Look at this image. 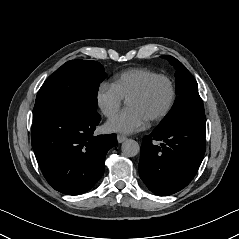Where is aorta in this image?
Returning a JSON list of instances; mask_svg holds the SVG:
<instances>
[{
  "label": "aorta",
  "mask_w": 239,
  "mask_h": 239,
  "mask_svg": "<svg viewBox=\"0 0 239 239\" xmlns=\"http://www.w3.org/2000/svg\"><path fill=\"white\" fill-rule=\"evenodd\" d=\"M121 150L123 155L127 157H134L140 152V146L137 141L127 139L122 143Z\"/></svg>",
  "instance_id": "obj_1"
}]
</instances>
